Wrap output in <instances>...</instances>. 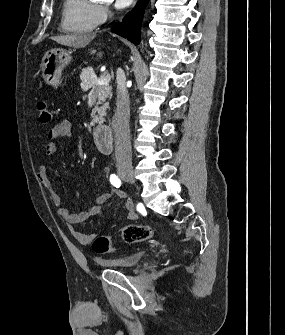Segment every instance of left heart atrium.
<instances>
[{
	"instance_id": "1",
	"label": "left heart atrium",
	"mask_w": 285,
	"mask_h": 335,
	"mask_svg": "<svg viewBox=\"0 0 285 335\" xmlns=\"http://www.w3.org/2000/svg\"><path fill=\"white\" fill-rule=\"evenodd\" d=\"M132 1H115L116 7L124 9L131 4Z\"/></svg>"
}]
</instances>
